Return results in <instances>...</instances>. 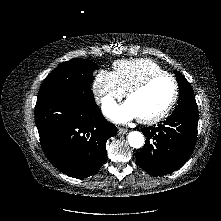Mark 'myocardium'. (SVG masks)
I'll use <instances>...</instances> for the list:
<instances>
[{
    "label": "myocardium",
    "mask_w": 221,
    "mask_h": 221,
    "mask_svg": "<svg viewBox=\"0 0 221 221\" xmlns=\"http://www.w3.org/2000/svg\"><path fill=\"white\" fill-rule=\"evenodd\" d=\"M163 77L170 79L172 84H173L172 98L170 99V101L166 105V107L161 112H159L158 114H156L152 117H138V121L143 123V124L158 123L159 121L164 119L170 113V111L172 110V108L176 104L177 99H178V95H179V86H178L177 80L175 79L174 76H172L169 73H166V72L156 73V74H153V75H150V76L146 77L141 82H139L136 85H134L133 87H131L126 93V98H127V100H129V98L132 95H134V94L142 91L143 89H145L154 80L159 79V78H163Z\"/></svg>",
    "instance_id": "myocardium-1"
}]
</instances>
